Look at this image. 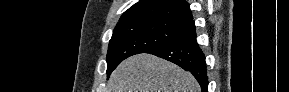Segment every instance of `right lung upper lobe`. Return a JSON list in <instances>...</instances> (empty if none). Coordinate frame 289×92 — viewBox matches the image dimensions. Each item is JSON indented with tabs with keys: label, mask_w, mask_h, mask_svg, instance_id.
Instances as JSON below:
<instances>
[{
	"label": "right lung upper lobe",
	"mask_w": 289,
	"mask_h": 92,
	"mask_svg": "<svg viewBox=\"0 0 289 92\" xmlns=\"http://www.w3.org/2000/svg\"><path fill=\"white\" fill-rule=\"evenodd\" d=\"M130 19H154L189 27L194 24L185 0H141L124 12L119 22Z\"/></svg>",
	"instance_id": "cb5924a9"
}]
</instances>
